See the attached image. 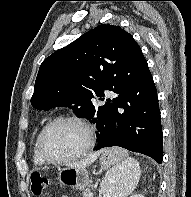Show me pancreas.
<instances>
[{
    "label": "pancreas",
    "instance_id": "1",
    "mask_svg": "<svg viewBox=\"0 0 191 197\" xmlns=\"http://www.w3.org/2000/svg\"><path fill=\"white\" fill-rule=\"evenodd\" d=\"M83 197H92V196H91V194L87 190H85L83 192Z\"/></svg>",
    "mask_w": 191,
    "mask_h": 197
}]
</instances>
